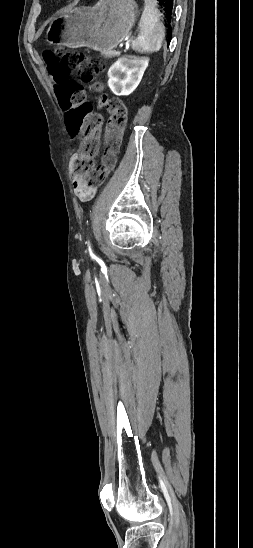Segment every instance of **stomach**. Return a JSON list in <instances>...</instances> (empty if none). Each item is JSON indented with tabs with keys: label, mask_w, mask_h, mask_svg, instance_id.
<instances>
[{
	"label": "stomach",
	"mask_w": 253,
	"mask_h": 548,
	"mask_svg": "<svg viewBox=\"0 0 253 548\" xmlns=\"http://www.w3.org/2000/svg\"><path fill=\"white\" fill-rule=\"evenodd\" d=\"M138 14L134 0H99L57 17L48 29L51 43L88 47L102 54L112 51L128 35Z\"/></svg>",
	"instance_id": "0dacf381"
}]
</instances>
